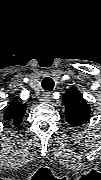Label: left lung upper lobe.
Listing matches in <instances>:
<instances>
[{"mask_svg": "<svg viewBox=\"0 0 101 180\" xmlns=\"http://www.w3.org/2000/svg\"><path fill=\"white\" fill-rule=\"evenodd\" d=\"M62 101L65 106L66 120L72 127H78L89 120L90 106L75 87L68 89Z\"/></svg>", "mask_w": 101, "mask_h": 180, "instance_id": "obj_1", "label": "left lung upper lobe"}]
</instances>
